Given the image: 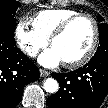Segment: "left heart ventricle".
I'll use <instances>...</instances> for the list:
<instances>
[{
  "label": "left heart ventricle",
  "instance_id": "obj_1",
  "mask_svg": "<svg viewBox=\"0 0 108 108\" xmlns=\"http://www.w3.org/2000/svg\"><path fill=\"white\" fill-rule=\"evenodd\" d=\"M92 38L93 27L90 21L79 19L54 41L53 48L59 53L63 62L72 61L86 52Z\"/></svg>",
  "mask_w": 108,
  "mask_h": 108
}]
</instances>
